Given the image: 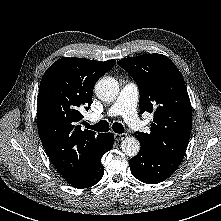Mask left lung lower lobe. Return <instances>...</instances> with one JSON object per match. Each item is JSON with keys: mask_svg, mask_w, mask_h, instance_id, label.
Masks as SVG:
<instances>
[{"mask_svg": "<svg viewBox=\"0 0 221 221\" xmlns=\"http://www.w3.org/2000/svg\"><path fill=\"white\" fill-rule=\"evenodd\" d=\"M181 162L182 158L166 156L141 147L129 164L135 178L147 184H156L172 175Z\"/></svg>", "mask_w": 221, "mask_h": 221, "instance_id": "1", "label": "left lung lower lobe"}]
</instances>
